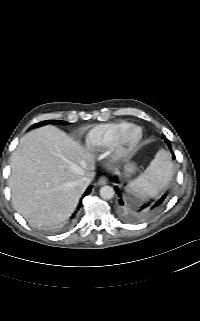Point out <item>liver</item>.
Returning <instances> with one entry per match:
<instances>
[{
	"label": "liver",
	"mask_w": 200,
	"mask_h": 321,
	"mask_svg": "<svg viewBox=\"0 0 200 321\" xmlns=\"http://www.w3.org/2000/svg\"><path fill=\"white\" fill-rule=\"evenodd\" d=\"M94 156L54 126L24 135L11 156L9 187L17 212L32 226L64 221L84 190L81 177L92 179Z\"/></svg>",
	"instance_id": "liver-1"
}]
</instances>
